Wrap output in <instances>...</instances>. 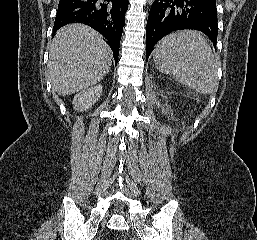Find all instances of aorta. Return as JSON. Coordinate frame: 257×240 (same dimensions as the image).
<instances>
[{
	"mask_svg": "<svg viewBox=\"0 0 257 240\" xmlns=\"http://www.w3.org/2000/svg\"><path fill=\"white\" fill-rule=\"evenodd\" d=\"M154 0H148L149 4H151Z\"/></svg>",
	"mask_w": 257,
	"mask_h": 240,
	"instance_id": "762f6f07",
	"label": "aorta"
}]
</instances>
